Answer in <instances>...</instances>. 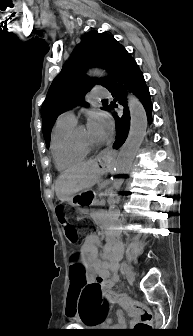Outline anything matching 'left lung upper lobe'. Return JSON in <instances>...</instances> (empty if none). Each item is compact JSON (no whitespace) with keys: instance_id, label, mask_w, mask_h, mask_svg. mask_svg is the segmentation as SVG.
Wrapping results in <instances>:
<instances>
[{"instance_id":"1","label":"left lung upper lobe","mask_w":193,"mask_h":336,"mask_svg":"<svg viewBox=\"0 0 193 336\" xmlns=\"http://www.w3.org/2000/svg\"><path fill=\"white\" fill-rule=\"evenodd\" d=\"M125 49L107 33L91 31L84 35L62 71L53 80L41 109L43 135L47 147L56 118L63 112L82 104L85 94L96 85L108 87L111 78H90L84 72L89 67H101L114 76L120 52ZM87 102L84 106H88ZM105 106L102 109H109Z\"/></svg>"}]
</instances>
